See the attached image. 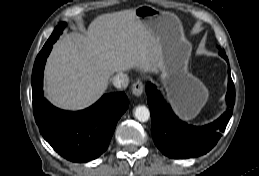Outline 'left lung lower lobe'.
<instances>
[{"label":"left lung lower lobe","instance_id":"1","mask_svg":"<svg viewBox=\"0 0 259 176\" xmlns=\"http://www.w3.org/2000/svg\"><path fill=\"white\" fill-rule=\"evenodd\" d=\"M224 59L228 62L227 56H224ZM146 92L154 143L164 155L174 159L198 157L209 152L224 132L235 103V88L230 76V67L226 94L229 108L217 120L202 127L187 125L179 120L153 84H146Z\"/></svg>","mask_w":259,"mask_h":176}]
</instances>
